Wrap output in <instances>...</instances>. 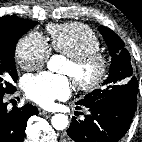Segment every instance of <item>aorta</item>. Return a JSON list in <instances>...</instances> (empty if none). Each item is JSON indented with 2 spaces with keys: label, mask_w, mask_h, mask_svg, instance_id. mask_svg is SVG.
<instances>
[{
  "label": "aorta",
  "mask_w": 142,
  "mask_h": 142,
  "mask_svg": "<svg viewBox=\"0 0 142 142\" xmlns=\"http://www.w3.org/2000/svg\"><path fill=\"white\" fill-rule=\"evenodd\" d=\"M63 59L61 56L54 55L47 63V67L51 72H57ZM52 126L56 130H64L68 126V118L64 114H55L51 119Z\"/></svg>",
  "instance_id": "1"
}]
</instances>
